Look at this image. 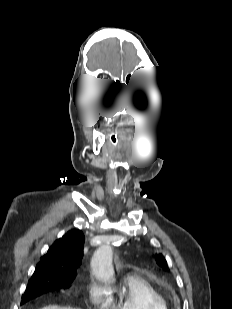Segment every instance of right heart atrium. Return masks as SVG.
<instances>
[{
    "label": "right heart atrium",
    "mask_w": 232,
    "mask_h": 309,
    "mask_svg": "<svg viewBox=\"0 0 232 309\" xmlns=\"http://www.w3.org/2000/svg\"><path fill=\"white\" fill-rule=\"evenodd\" d=\"M89 297L95 306L101 309L105 308L108 296L106 290L101 285L91 282L89 285Z\"/></svg>",
    "instance_id": "d8ad5b80"
}]
</instances>
